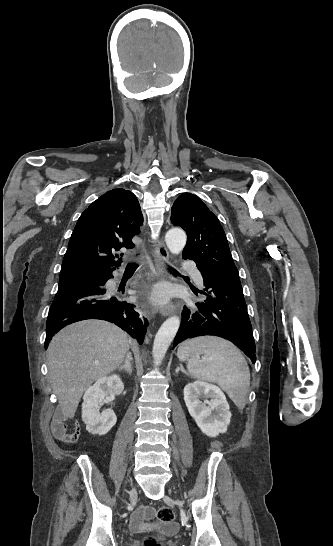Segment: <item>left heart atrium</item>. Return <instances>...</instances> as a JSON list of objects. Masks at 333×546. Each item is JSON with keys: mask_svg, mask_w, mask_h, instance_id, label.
Returning <instances> with one entry per match:
<instances>
[{"mask_svg": "<svg viewBox=\"0 0 333 546\" xmlns=\"http://www.w3.org/2000/svg\"><path fill=\"white\" fill-rule=\"evenodd\" d=\"M167 297V292L165 290H159L157 292V298L159 301H164Z\"/></svg>", "mask_w": 333, "mask_h": 546, "instance_id": "39dd6f15", "label": "left heart atrium"}]
</instances>
